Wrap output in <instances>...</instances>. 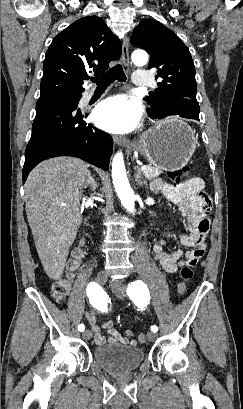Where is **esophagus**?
I'll return each mask as SVG.
<instances>
[{"instance_id":"esophagus-1","label":"esophagus","mask_w":243,"mask_h":409,"mask_svg":"<svg viewBox=\"0 0 243 409\" xmlns=\"http://www.w3.org/2000/svg\"><path fill=\"white\" fill-rule=\"evenodd\" d=\"M121 60L124 66L128 67L130 64V59H129V39L128 37H125L122 43V55H121ZM113 140L115 143L118 145L126 146V147H133L135 146V143L130 142L129 139L123 137V136H113Z\"/></svg>"}]
</instances>
